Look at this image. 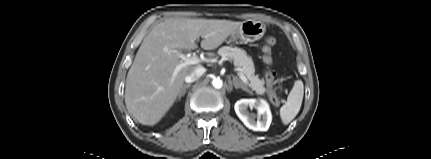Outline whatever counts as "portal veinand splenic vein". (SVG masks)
Returning a JSON list of instances; mask_svg holds the SVG:
<instances>
[{
	"mask_svg": "<svg viewBox=\"0 0 431 159\" xmlns=\"http://www.w3.org/2000/svg\"><path fill=\"white\" fill-rule=\"evenodd\" d=\"M175 54L181 59V63L178 64L173 72L172 78H171V84L173 83V81L175 80V77L177 76L178 72L186 66L189 65H195L200 63L202 60L196 56V55H191V54H187L184 55L182 53H180L179 51H175ZM238 75L239 78L243 81L244 84L248 85V80L247 78L241 73V69L238 68Z\"/></svg>",
	"mask_w": 431,
	"mask_h": 159,
	"instance_id": "obj_1",
	"label": "portal vein and splenic vein"
}]
</instances>
